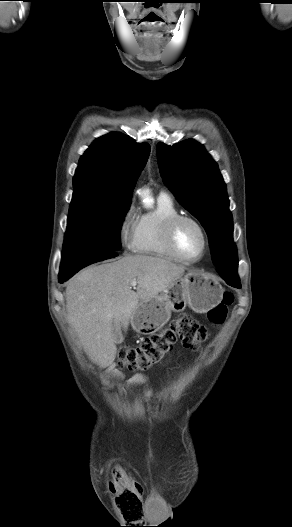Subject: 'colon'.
Segmentation results:
<instances>
[{"label":"colon","instance_id":"obj_1","mask_svg":"<svg viewBox=\"0 0 292 527\" xmlns=\"http://www.w3.org/2000/svg\"><path fill=\"white\" fill-rule=\"evenodd\" d=\"M233 302V295L225 292L222 301L208 312V320L214 326L222 325L227 316L228 308ZM209 330L206 326L190 315L174 319L162 331L146 338L138 346L120 351V363L129 370H144L160 362L180 342L186 348L196 349L206 341ZM122 493L117 497L118 504L125 509L129 503H134L141 510V489L131 480L122 483Z\"/></svg>","mask_w":292,"mask_h":527}]
</instances>
